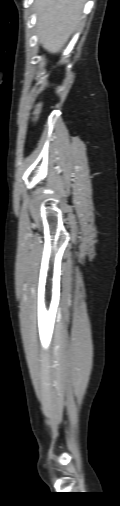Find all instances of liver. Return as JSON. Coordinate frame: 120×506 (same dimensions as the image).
<instances>
[{"label": "liver", "instance_id": "1", "mask_svg": "<svg viewBox=\"0 0 120 506\" xmlns=\"http://www.w3.org/2000/svg\"><path fill=\"white\" fill-rule=\"evenodd\" d=\"M85 0H36L38 35L43 48L58 53L78 27Z\"/></svg>", "mask_w": 120, "mask_h": 506}]
</instances>
